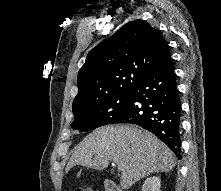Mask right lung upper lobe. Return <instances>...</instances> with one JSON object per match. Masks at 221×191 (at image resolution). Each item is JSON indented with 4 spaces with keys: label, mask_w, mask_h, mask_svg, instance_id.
I'll use <instances>...</instances> for the list:
<instances>
[{
    "label": "right lung upper lobe",
    "mask_w": 221,
    "mask_h": 191,
    "mask_svg": "<svg viewBox=\"0 0 221 191\" xmlns=\"http://www.w3.org/2000/svg\"><path fill=\"white\" fill-rule=\"evenodd\" d=\"M161 32L144 20L126 23L93 48L78 72V94L72 110L78 112L133 88L167 55Z\"/></svg>",
    "instance_id": "obj_1"
}]
</instances>
